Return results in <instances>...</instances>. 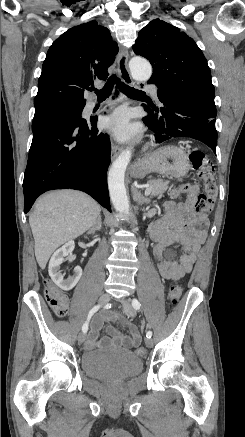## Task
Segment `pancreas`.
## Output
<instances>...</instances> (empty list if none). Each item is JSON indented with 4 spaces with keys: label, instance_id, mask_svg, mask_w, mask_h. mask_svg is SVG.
I'll return each instance as SVG.
<instances>
[{
    "label": "pancreas",
    "instance_id": "cf45deb5",
    "mask_svg": "<svg viewBox=\"0 0 245 437\" xmlns=\"http://www.w3.org/2000/svg\"><path fill=\"white\" fill-rule=\"evenodd\" d=\"M151 193L150 196L163 195V193L168 189L169 182L164 180H152L151 181Z\"/></svg>",
    "mask_w": 245,
    "mask_h": 437
}]
</instances>
